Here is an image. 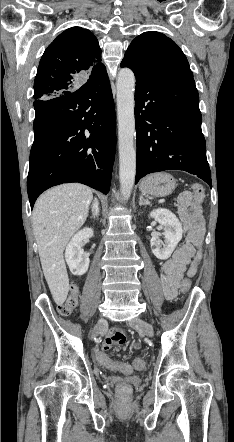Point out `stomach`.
Masks as SVG:
<instances>
[{
    "label": "stomach",
    "mask_w": 234,
    "mask_h": 442,
    "mask_svg": "<svg viewBox=\"0 0 234 442\" xmlns=\"http://www.w3.org/2000/svg\"><path fill=\"white\" fill-rule=\"evenodd\" d=\"M176 186V180L171 174L159 172L145 177L141 181L139 189L144 194L166 197L175 190Z\"/></svg>",
    "instance_id": "obj_1"
}]
</instances>
